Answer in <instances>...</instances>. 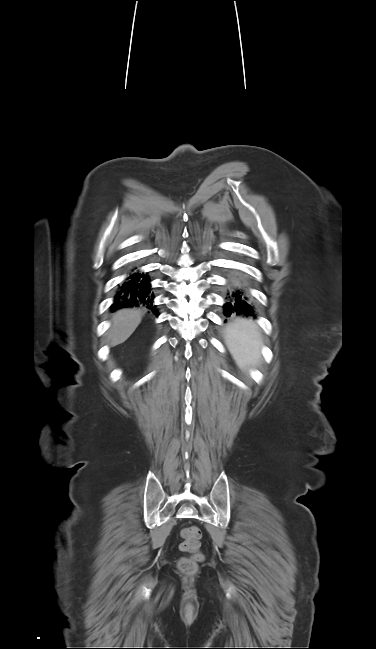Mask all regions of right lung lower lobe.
<instances>
[{"label": "right lung lower lobe", "instance_id": "1", "mask_svg": "<svg viewBox=\"0 0 376 649\" xmlns=\"http://www.w3.org/2000/svg\"><path fill=\"white\" fill-rule=\"evenodd\" d=\"M149 278L144 273L135 272L130 274L119 286L115 295L112 310L123 307L146 305L147 308L157 314L153 306V294L150 292ZM158 316V315H157Z\"/></svg>", "mask_w": 376, "mask_h": 649}]
</instances>
